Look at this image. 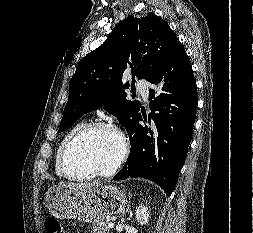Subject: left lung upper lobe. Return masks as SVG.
<instances>
[{"instance_id": "left-lung-upper-lobe-1", "label": "left lung upper lobe", "mask_w": 253, "mask_h": 233, "mask_svg": "<svg viewBox=\"0 0 253 233\" xmlns=\"http://www.w3.org/2000/svg\"><path fill=\"white\" fill-rule=\"evenodd\" d=\"M177 43L168 23L153 13L143 18H125L101 46L78 63L58 132L101 106L116 116L128 132L141 103L126 99L123 74L131 72L133 81L137 77L151 83L161 74ZM125 87H129L128 82Z\"/></svg>"}]
</instances>
